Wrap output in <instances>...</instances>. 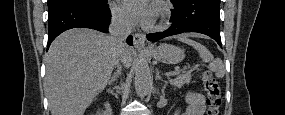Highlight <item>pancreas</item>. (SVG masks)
<instances>
[{"instance_id":"obj_1","label":"pancreas","mask_w":285,"mask_h":115,"mask_svg":"<svg viewBox=\"0 0 285 115\" xmlns=\"http://www.w3.org/2000/svg\"><path fill=\"white\" fill-rule=\"evenodd\" d=\"M191 73L190 72H183L182 74L178 75L175 79L169 80V83L175 87H182L185 84H189L191 81Z\"/></svg>"}]
</instances>
